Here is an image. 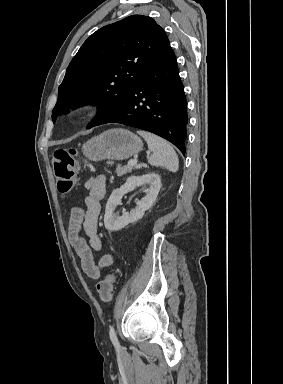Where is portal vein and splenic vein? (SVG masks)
<instances>
[{"label": "portal vein and splenic vein", "instance_id": "1", "mask_svg": "<svg viewBox=\"0 0 283 384\" xmlns=\"http://www.w3.org/2000/svg\"><path fill=\"white\" fill-rule=\"evenodd\" d=\"M147 156H150V152H147ZM137 160H129L128 166H136Z\"/></svg>", "mask_w": 283, "mask_h": 384}]
</instances>
